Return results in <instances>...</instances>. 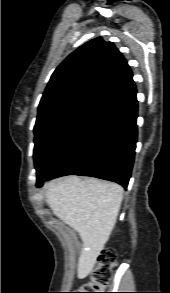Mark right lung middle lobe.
I'll return each mask as SVG.
<instances>
[{
    "label": "right lung middle lobe",
    "instance_id": "dd1d6c3e",
    "mask_svg": "<svg viewBox=\"0 0 170 293\" xmlns=\"http://www.w3.org/2000/svg\"><path fill=\"white\" fill-rule=\"evenodd\" d=\"M107 107L79 104L62 109L34 127V162L37 184L43 182L56 165L88 133Z\"/></svg>",
    "mask_w": 170,
    "mask_h": 293
}]
</instances>
